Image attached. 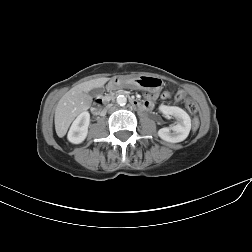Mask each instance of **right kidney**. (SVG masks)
<instances>
[{"instance_id":"ca27d5eb","label":"right kidney","mask_w":252,"mask_h":252,"mask_svg":"<svg viewBox=\"0 0 252 252\" xmlns=\"http://www.w3.org/2000/svg\"><path fill=\"white\" fill-rule=\"evenodd\" d=\"M90 124V114L88 111L80 113L73 121L68 132V140L73 144L82 143L88 134V127Z\"/></svg>"}]
</instances>
